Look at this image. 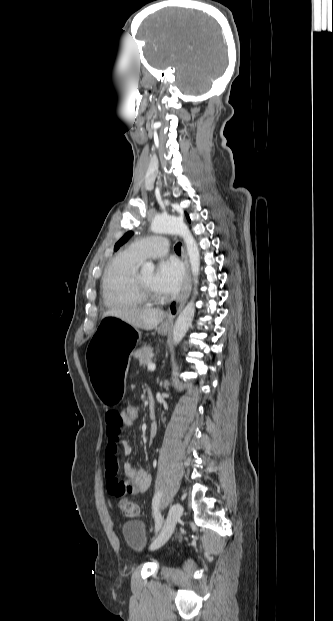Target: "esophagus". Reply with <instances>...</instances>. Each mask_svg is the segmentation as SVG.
Masks as SVG:
<instances>
[{
    "mask_svg": "<svg viewBox=\"0 0 333 621\" xmlns=\"http://www.w3.org/2000/svg\"><path fill=\"white\" fill-rule=\"evenodd\" d=\"M158 181L159 183H161V176L158 177ZM183 258H184V262H185V266H186V277H185V285H184V289L180 295V297L178 298V300L172 302L169 306V313L167 316V319L164 322V326H169L173 323V320L175 318V316L181 311V309L183 308V306L185 305L190 291H191V276H190V268H189V263H188V258H187V254L185 251V248H183Z\"/></svg>",
    "mask_w": 333,
    "mask_h": 621,
    "instance_id": "esophagus-1",
    "label": "esophagus"
}]
</instances>
